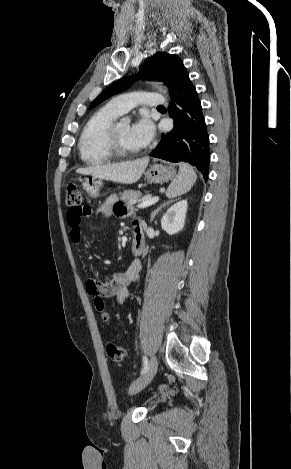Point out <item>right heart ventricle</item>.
<instances>
[{"label":"right heart ventricle","instance_id":"1","mask_svg":"<svg viewBox=\"0 0 291 469\" xmlns=\"http://www.w3.org/2000/svg\"><path fill=\"white\" fill-rule=\"evenodd\" d=\"M122 113L111 103L96 110L84 125L78 141L81 160L88 165L110 161L113 156L107 146V131Z\"/></svg>","mask_w":291,"mask_h":469}]
</instances>
